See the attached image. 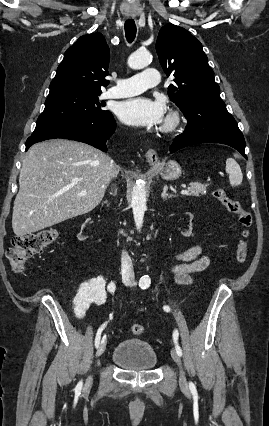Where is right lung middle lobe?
<instances>
[{
	"mask_svg": "<svg viewBox=\"0 0 269 426\" xmlns=\"http://www.w3.org/2000/svg\"><path fill=\"white\" fill-rule=\"evenodd\" d=\"M101 92L84 90H59L50 92L45 109L39 116L31 136L85 119L99 118L108 111L99 102Z\"/></svg>",
	"mask_w": 269,
	"mask_h": 426,
	"instance_id": "1",
	"label": "right lung middle lobe"
}]
</instances>
